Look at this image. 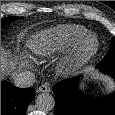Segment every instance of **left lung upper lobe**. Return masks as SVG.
<instances>
[{
  "label": "left lung upper lobe",
  "mask_w": 115,
  "mask_h": 115,
  "mask_svg": "<svg viewBox=\"0 0 115 115\" xmlns=\"http://www.w3.org/2000/svg\"><path fill=\"white\" fill-rule=\"evenodd\" d=\"M115 65V37L112 39L108 55L97 65L99 67Z\"/></svg>",
  "instance_id": "obj_1"
}]
</instances>
